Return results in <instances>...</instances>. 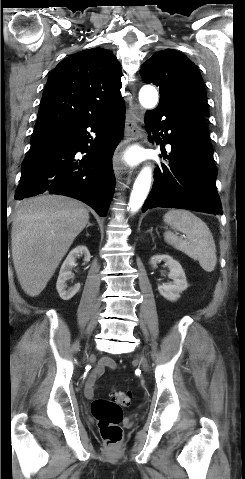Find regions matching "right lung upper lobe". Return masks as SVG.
I'll use <instances>...</instances> for the list:
<instances>
[{
  "label": "right lung upper lobe",
  "mask_w": 245,
  "mask_h": 479,
  "mask_svg": "<svg viewBox=\"0 0 245 479\" xmlns=\"http://www.w3.org/2000/svg\"><path fill=\"white\" fill-rule=\"evenodd\" d=\"M120 64L111 51L87 49L62 60L50 74L33 133L90 114L125 108Z\"/></svg>",
  "instance_id": "cb5924a9"
}]
</instances>
